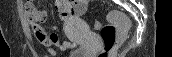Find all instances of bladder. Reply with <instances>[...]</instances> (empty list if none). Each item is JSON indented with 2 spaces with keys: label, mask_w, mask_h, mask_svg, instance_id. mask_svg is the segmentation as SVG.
<instances>
[{
  "label": "bladder",
  "mask_w": 172,
  "mask_h": 57,
  "mask_svg": "<svg viewBox=\"0 0 172 57\" xmlns=\"http://www.w3.org/2000/svg\"><path fill=\"white\" fill-rule=\"evenodd\" d=\"M71 57H84V56H82V55H78V56H71Z\"/></svg>",
  "instance_id": "31cf9c89"
}]
</instances>
